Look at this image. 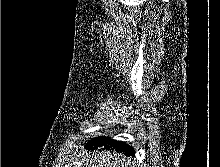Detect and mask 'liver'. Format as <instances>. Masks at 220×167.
<instances>
[{
  "label": "liver",
  "instance_id": "liver-1",
  "mask_svg": "<svg viewBox=\"0 0 220 167\" xmlns=\"http://www.w3.org/2000/svg\"><path fill=\"white\" fill-rule=\"evenodd\" d=\"M83 167H132L131 160L121 154L105 151L83 153Z\"/></svg>",
  "mask_w": 220,
  "mask_h": 167
}]
</instances>
